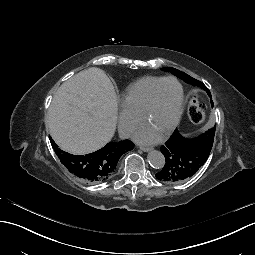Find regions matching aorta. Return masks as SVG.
<instances>
[{
	"mask_svg": "<svg viewBox=\"0 0 255 255\" xmlns=\"http://www.w3.org/2000/svg\"><path fill=\"white\" fill-rule=\"evenodd\" d=\"M148 162L155 169H162L165 164L164 155L157 150H152L148 153Z\"/></svg>",
	"mask_w": 255,
	"mask_h": 255,
	"instance_id": "762f6f07",
	"label": "aorta"
}]
</instances>
